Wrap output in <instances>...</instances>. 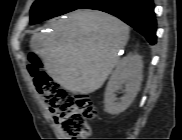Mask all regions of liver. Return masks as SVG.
Wrapping results in <instances>:
<instances>
[{
  "label": "liver",
  "mask_w": 182,
  "mask_h": 140,
  "mask_svg": "<svg viewBox=\"0 0 182 140\" xmlns=\"http://www.w3.org/2000/svg\"><path fill=\"white\" fill-rule=\"evenodd\" d=\"M52 28L49 34L34 33L31 51L54 82L77 94L93 93L104 84L129 39L125 23L95 10L71 12Z\"/></svg>",
  "instance_id": "1"
}]
</instances>
